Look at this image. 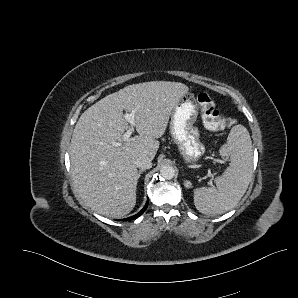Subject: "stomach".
Returning a JSON list of instances; mask_svg holds the SVG:
<instances>
[{"instance_id": "obj_1", "label": "stomach", "mask_w": 298, "mask_h": 298, "mask_svg": "<svg viewBox=\"0 0 298 298\" xmlns=\"http://www.w3.org/2000/svg\"><path fill=\"white\" fill-rule=\"evenodd\" d=\"M198 114L199 106L191 92L181 98L171 113V139L186 164H196L206 152V147L200 140V130L195 126Z\"/></svg>"}]
</instances>
